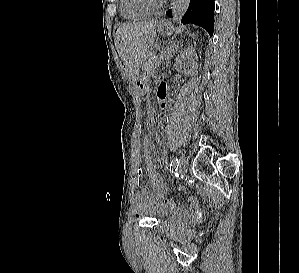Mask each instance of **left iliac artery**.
I'll list each match as a JSON object with an SVG mask.
<instances>
[{"instance_id": "left-iliac-artery-1", "label": "left iliac artery", "mask_w": 299, "mask_h": 273, "mask_svg": "<svg viewBox=\"0 0 299 273\" xmlns=\"http://www.w3.org/2000/svg\"><path fill=\"white\" fill-rule=\"evenodd\" d=\"M178 165H179V160L177 158L173 159L171 161L169 171L174 172L178 168Z\"/></svg>"}]
</instances>
